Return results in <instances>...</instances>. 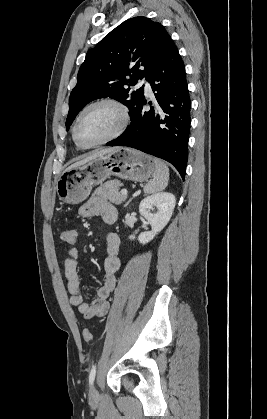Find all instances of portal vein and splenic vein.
Instances as JSON below:
<instances>
[{
	"label": "portal vein and splenic vein",
	"instance_id": "obj_1",
	"mask_svg": "<svg viewBox=\"0 0 267 419\" xmlns=\"http://www.w3.org/2000/svg\"><path fill=\"white\" fill-rule=\"evenodd\" d=\"M121 194L124 195V196H127L128 191L126 189H122L121 190Z\"/></svg>",
	"mask_w": 267,
	"mask_h": 419
}]
</instances>
